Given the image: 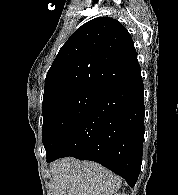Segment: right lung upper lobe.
I'll list each match as a JSON object with an SVG mask.
<instances>
[{
  "mask_svg": "<svg viewBox=\"0 0 178 195\" xmlns=\"http://www.w3.org/2000/svg\"><path fill=\"white\" fill-rule=\"evenodd\" d=\"M139 71L137 53L125 27L109 17L95 18L61 47L47 73L43 101L69 91H100Z\"/></svg>",
  "mask_w": 178,
  "mask_h": 195,
  "instance_id": "right-lung-upper-lobe-1",
  "label": "right lung upper lobe"
}]
</instances>
